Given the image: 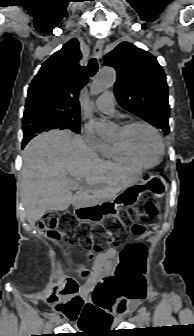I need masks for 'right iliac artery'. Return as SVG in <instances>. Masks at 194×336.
<instances>
[{
  "instance_id": "right-iliac-artery-1",
  "label": "right iliac artery",
  "mask_w": 194,
  "mask_h": 336,
  "mask_svg": "<svg viewBox=\"0 0 194 336\" xmlns=\"http://www.w3.org/2000/svg\"><path fill=\"white\" fill-rule=\"evenodd\" d=\"M56 314H52L51 315V320H53L55 318Z\"/></svg>"
}]
</instances>
